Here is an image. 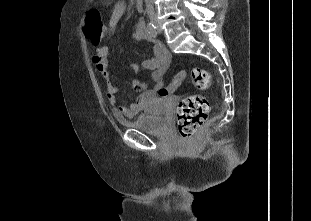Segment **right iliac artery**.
Returning <instances> with one entry per match:
<instances>
[{
  "mask_svg": "<svg viewBox=\"0 0 311 221\" xmlns=\"http://www.w3.org/2000/svg\"><path fill=\"white\" fill-rule=\"evenodd\" d=\"M147 31L151 37L155 38L157 36L156 26L151 22L147 25Z\"/></svg>",
  "mask_w": 311,
  "mask_h": 221,
  "instance_id": "right-iliac-artery-1",
  "label": "right iliac artery"
}]
</instances>
